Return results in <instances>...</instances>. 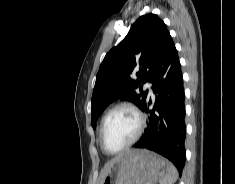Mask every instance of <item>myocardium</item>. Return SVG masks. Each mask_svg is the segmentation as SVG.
I'll return each instance as SVG.
<instances>
[{"label":"myocardium","instance_id":"f54148a6","mask_svg":"<svg viewBox=\"0 0 235 184\" xmlns=\"http://www.w3.org/2000/svg\"><path fill=\"white\" fill-rule=\"evenodd\" d=\"M119 109H128L132 111L137 117L138 127H137L136 134L126 145H124L122 148L118 150L110 151L106 148V146L103 143V135H104V132L106 130V127H107V124L111 115ZM144 126H145V116L135 105L128 103V102L118 103L107 111V113L105 114L102 120L100 131H99V136H98L99 146L102 149V151L108 155H111V156L119 155L125 150H127L128 148H130L131 146H133L139 140V138L141 137L143 133Z\"/></svg>","mask_w":235,"mask_h":184}]
</instances>
